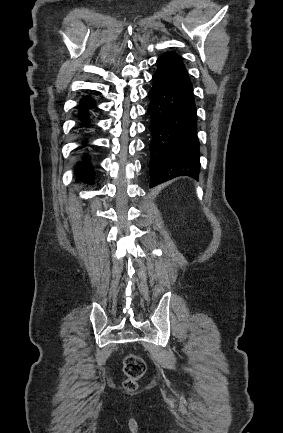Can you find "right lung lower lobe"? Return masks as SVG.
<instances>
[{
    "label": "right lung lower lobe",
    "instance_id": "right-lung-lower-lobe-1",
    "mask_svg": "<svg viewBox=\"0 0 283 433\" xmlns=\"http://www.w3.org/2000/svg\"><path fill=\"white\" fill-rule=\"evenodd\" d=\"M95 106L94 100L90 97H84L80 103V111L82 116V122L85 124L87 122V111ZM92 169L86 160L80 163L77 169V175L80 181L91 182Z\"/></svg>",
    "mask_w": 283,
    "mask_h": 433
}]
</instances>
